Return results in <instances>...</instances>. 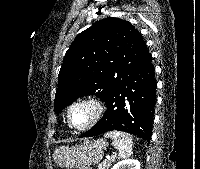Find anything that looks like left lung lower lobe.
Segmentation results:
<instances>
[{"label": "left lung lower lobe", "instance_id": "obj_1", "mask_svg": "<svg viewBox=\"0 0 200 169\" xmlns=\"http://www.w3.org/2000/svg\"><path fill=\"white\" fill-rule=\"evenodd\" d=\"M154 73L152 56L147 52L107 95L104 116L81 137L117 130L150 142L157 87Z\"/></svg>", "mask_w": 200, "mask_h": 169}]
</instances>
